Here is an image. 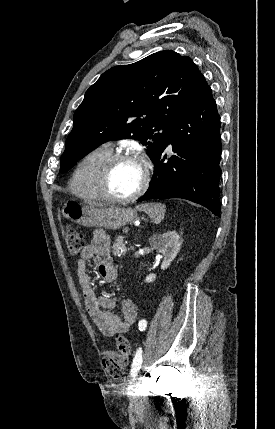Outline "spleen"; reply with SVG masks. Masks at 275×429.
<instances>
[{
  "label": "spleen",
  "instance_id": "obj_1",
  "mask_svg": "<svg viewBox=\"0 0 275 429\" xmlns=\"http://www.w3.org/2000/svg\"><path fill=\"white\" fill-rule=\"evenodd\" d=\"M136 209L145 212L156 224H159L163 220L166 212V206L161 203L141 204Z\"/></svg>",
  "mask_w": 275,
  "mask_h": 429
}]
</instances>
